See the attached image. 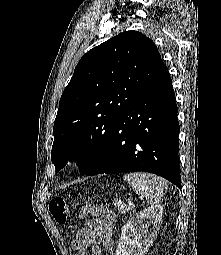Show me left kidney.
<instances>
[{
    "label": "left kidney",
    "instance_id": "5707ae66",
    "mask_svg": "<svg viewBox=\"0 0 221 255\" xmlns=\"http://www.w3.org/2000/svg\"><path fill=\"white\" fill-rule=\"evenodd\" d=\"M163 206L148 207L132 216L121 230L115 255H144L160 229Z\"/></svg>",
    "mask_w": 221,
    "mask_h": 255
}]
</instances>
